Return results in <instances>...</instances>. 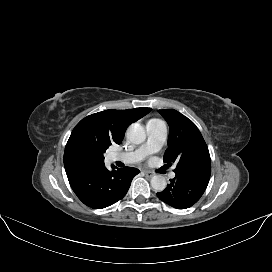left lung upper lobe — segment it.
<instances>
[{"label": "left lung upper lobe", "mask_w": 272, "mask_h": 272, "mask_svg": "<svg viewBox=\"0 0 272 272\" xmlns=\"http://www.w3.org/2000/svg\"><path fill=\"white\" fill-rule=\"evenodd\" d=\"M159 112L170 128L164 161L168 164L177 163L175 173L211 170L209 151L196 125L176 110L165 109Z\"/></svg>", "instance_id": "obj_1"}]
</instances>
